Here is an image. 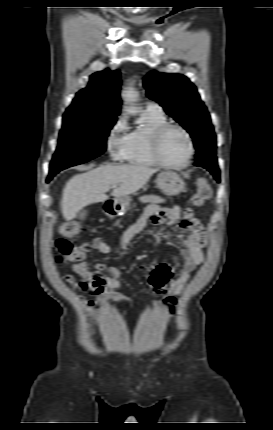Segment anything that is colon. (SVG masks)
I'll return each mask as SVG.
<instances>
[{"instance_id": "5ec220e1", "label": "colon", "mask_w": 273, "mask_h": 430, "mask_svg": "<svg viewBox=\"0 0 273 430\" xmlns=\"http://www.w3.org/2000/svg\"><path fill=\"white\" fill-rule=\"evenodd\" d=\"M210 195L211 189L208 182L204 178H199L197 180V190L190 197L189 204L193 207H200L209 199ZM80 229L81 225L77 221L67 222L61 227L60 231L63 237L56 241V261L58 263L80 262L87 256L90 251L88 244L76 245L71 241L80 232ZM67 278L71 282H75L80 289L89 291L88 287H85L81 281L76 282L72 276ZM85 305L88 309H91L93 303L85 301Z\"/></svg>"}]
</instances>
